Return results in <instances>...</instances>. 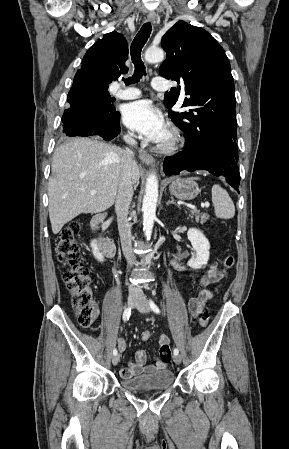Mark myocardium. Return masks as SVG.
<instances>
[{
    "mask_svg": "<svg viewBox=\"0 0 289 449\" xmlns=\"http://www.w3.org/2000/svg\"><path fill=\"white\" fill-rule=\"evenodd\" d=\"M182 141L181 132L175 127H170L167 129L165 137L158 144L157 149L161 153H173L180 147Z\"/></svg>",
    "mask_w": 289,
    "mask_h": 449,
    "instance_id": "1",
    "label": "myocardium"
}]
</instances>
